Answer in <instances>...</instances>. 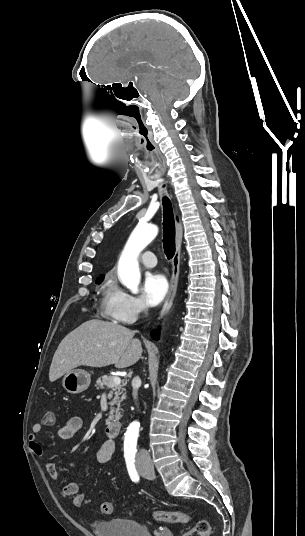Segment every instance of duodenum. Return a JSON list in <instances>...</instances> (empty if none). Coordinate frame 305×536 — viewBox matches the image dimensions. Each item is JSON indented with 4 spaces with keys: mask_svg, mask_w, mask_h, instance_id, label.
<instances>
[{
    "mask_svg": "<svg viewBox=\"0 0 305 536\" xmlns=\"http://www.w3.org/2000/svg\"><path fill=\"white\" fill-rule=\"evenodd\" d=\"M122 432V425L119 422H112L105 427V433L107 436L113 438L117 437Z\"/></svg>",
    "mask_w": 305,
    "mask_h": 536,
    "instance_id": "obj_1",
    "label": "duodenum"
}]
</instances>
